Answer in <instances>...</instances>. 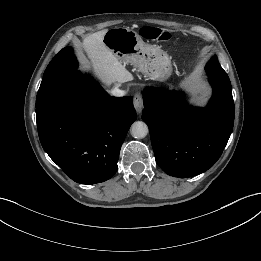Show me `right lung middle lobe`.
<instances>
[{"label":"right lung middle lobe","mask_w":261,"mask_h":261,"mask_svg":"<svg viewBox=\"0 0 261 261\" xmlns=\"http://www.w3.org/2000/svg\"><path fill=\"white\" fill-rule=\"evenodd\" d=\"M77 61L70 47L62 49L47 66L36 100L43 97L62 78L75 71Z\"/></svg>","instance_id":"1"}]
</instances>
